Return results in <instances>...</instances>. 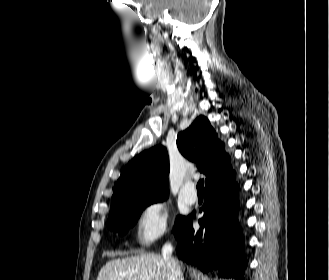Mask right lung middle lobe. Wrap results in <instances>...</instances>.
<instances>
[{"label": "right lung middle lobe", "mask_w": 329, "mask_h": 280, "mask_svg": "<svg viewBox=\"0 0 329 280\" xmlns=\"http://www.w3.org/2000/svg\"><path fill=\"white\" fill-rule=\"evenodd\" d=\"M167 197L168 196H156L129 201L121 208L109 214L107 226L111 230H114L115 232L117 231L120 235H123L128 231L129 227H132L136 223L145 207L156 202L164 201ZM184 219L185 217L183 216H178L176 218L174 231L184 221Z\"/></svg>", "instance_id": "obj_1"}]
</instances>
